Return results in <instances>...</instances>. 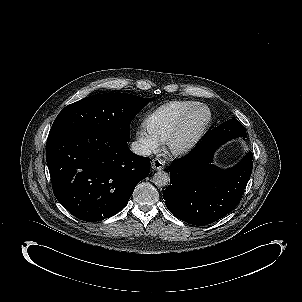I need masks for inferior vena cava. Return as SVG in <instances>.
<instances>
[{
  "instance_id": "obj_1",
  "label": "inferior vena cava",
  "mask_w": 302,
  "mask_h": 302,
  "mask_svg": "<svg viewBox=\"0 0 302 302\" xmlns=\"http://www.w3.org/2000/svg\"><path fill=\"white\" fill-rule=\"evenodd\" d=\"M131 151L140 156H150L152 153L150 148L138 141L132 142Z\"/></svg>"
}]
</instances>
